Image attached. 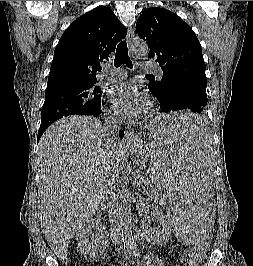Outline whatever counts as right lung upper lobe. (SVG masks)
Returning a JSON list of instances; mask_svg holds the SVG:
<instances>
[{"label":"right lung upper lobe","mask_w":253,"mask_h":266,"mask_svg":"<svg viewBox=\"0 0 253 266\" xmlns=\"http://www.w3.org/2000/svg\"><path fill=\"white\" fill-rule=\"evenodd\" d=\"M127 29L107 7H98L75 20L63 33L55 51L47 89L97 81L100 63L125 38Z\"/></svg>","instance_id":"1"}]
</instances>
